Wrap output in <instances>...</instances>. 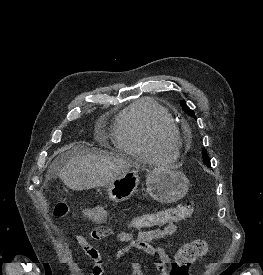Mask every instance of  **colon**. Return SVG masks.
Instances as JSON below:
<instances>
[{
	"mask_svg": "<svg viewBox=\"0 0 263 275\" xmlns=\"http://www.w3.org/2000/svg\"><path fill=\"white\" fill-rule=\"evenodd\" d=\"M68 210L66 204L59 203L54 209V214L57 217H62L67 214ZM193 210L191 203L179 204L172 208L135 216L128 222V226L140 230L164 226L190 217ZM80 216L86 221L99 223L108 219V211L104 206H94L81 210ZM207 251L208 245L201 239L184 244L173 257L171 275H187L186 273L191 269L194 262L204 256Z\"/></svg>",
	"mask_w": 263,
	"mask_h": 275,
	"instance_id": "colon-1",
	"label": "colon"
}]
</instances>
